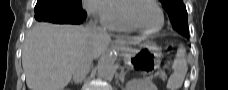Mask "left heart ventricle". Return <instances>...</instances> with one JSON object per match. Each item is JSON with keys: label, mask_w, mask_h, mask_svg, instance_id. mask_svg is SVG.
Instances as JSON below:
<instances>
[{"label": "left heart ventricle", "mask_w": 228, "mask_h": 90, "mask_svg": "<svg viewBox=\"0 0 228 90\" xmlns=\"http://www.w3.org/2000/svg\"><path fill=\"white\" fill-rule=\"evenodd\" d=\"M129 15L139 26L145 29L154 30L161 23L158 9L149 1H140L134 4Z\"/></svg>", "instance_id": "obj_1"}]
</instances>
